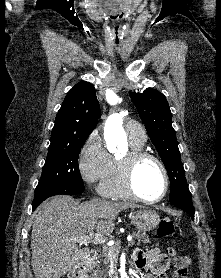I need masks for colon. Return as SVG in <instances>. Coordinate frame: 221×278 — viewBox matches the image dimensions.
<instances>
[{"label":"colon","mask_w":221,"mask_h":278,"mask_svg":"<svg viewBox=\"0 0 221 278\" xmlns=\"http://www.w3.org/2000/svg\"><path fill=\"white\" fill-rule=\"evenodd\" d=\"M158 235L162 238H175L177 236L176 228L173 221L164 217L160 220L158 229ZM174 255L173 272L175 275L182 278H186L189 266V259L181 254L172 251Z\"/></svg>","instance_id":"1"}]
</instances>
